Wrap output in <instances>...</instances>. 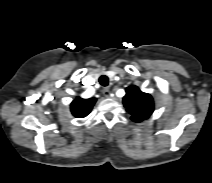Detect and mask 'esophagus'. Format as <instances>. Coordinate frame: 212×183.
<instances>
[{"label":"esophagus","instance_id":"1","mask_svg":"<svg viewBox=\"0 0 212 183\" xmlns=\"http://www.w3.org/2000/svg\"><path fill=\"white\" fill-rule=\"evenodd\" d=\"M103 95L106 97V98H108V97H110V89L108 88V87H106V88H104L103 89Z\"/></svg>","mask_w":212,"mask_h":183}]
</instances>
